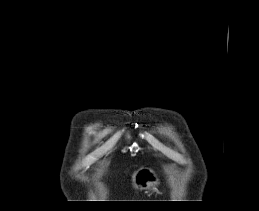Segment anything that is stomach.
<instances>
[{
  "mask_svg": "<svg viewBox=\"0 0 259 211\" xmlns=\"http://www.w3.org/2000/svg\"><path fill=\"white\" fill-rule=\"evenodd\" d=\"M160 182L156 172L147 167L140 168L132 175V185L137 190H151L158 188Z\"/></svg>",
  "mask_w": 259,
  "mask_h": 211,
  "instance_id": "obj_1",
  "label": "stomach"
}]
</instances>
